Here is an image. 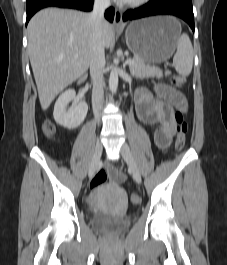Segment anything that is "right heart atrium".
Listing matches in <instances>:
<instances>
[{
	"label": "right heart atrium",
	"mask_w": 227,
	"mask_h": 265,
	"mask_svg": "<svg viewBox=\"0 0 227 265\" xmlns=\"http://www.w3.org/2000/svg\"><path fill=\"white\" fill-rule=\"evenodd\" d=\"M100 1H102V2H107L108 0H100Z\"/></svg>",
	"instance_id": "right-heart-atrium-1"
}]
</instances>
